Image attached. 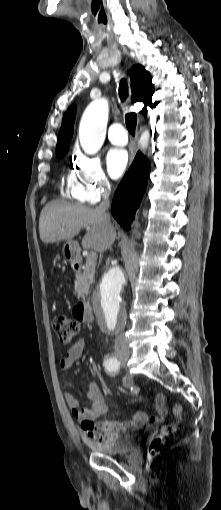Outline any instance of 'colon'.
Returning a JSON list of instances; mask_svg holds the SVG:
<instances>
[{"label": "colon", "mask_w": 221, "mask_h": 510, "mask_svg": "<svg viewBox=\"0 0 221 510\" xmlns=\"http://www.w3.org/2000/svg\"><path fill=\"white\" fill-rule=\"evenodd\" d=\"M52 328L57 334V337L60 340V342H62L63 344H69L74 340L75 336L77 335L79 325L77 321L65 315H57L52 320ZM172 411L174 414V421L169 424H166L162 428L160 434L150 442L148 449L150 456L156 455L163 449L164 438L174 434L178 424L182 420V407L179 404H175L172 408ZM97 437L98 440L96 441L101 442L103 436L101 434H98Z\"/></svg>", "instance_id": "5ec220e1"}]
</instances>
